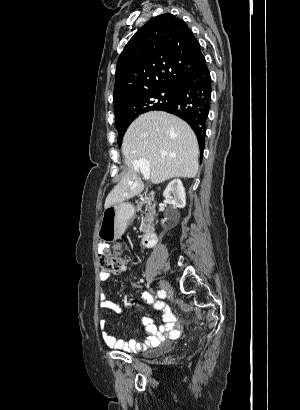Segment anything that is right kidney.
I'll list each match as a JSON object with an SVG mask.
<instances>
[{
  "label": "right kidney",
  "instance_id": "right-kidney-1",
  "mask_svg": "<svg viewBox=\"0 0 300 410\" xmlns=\"http://www.w3.org/2000/svg\"><path fill=\"white\" fill-rule=\"evenodd\" d=\"M163 196L166 200L171 201L176 208H184L186 205V194L180 179H174L167 185Z\"/></svg>",
  "mask_w": 300,
  "mask_h": 410
}]
</instances>
